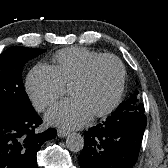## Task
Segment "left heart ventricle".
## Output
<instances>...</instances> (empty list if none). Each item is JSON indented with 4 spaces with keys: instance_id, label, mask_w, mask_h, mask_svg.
<instances>
[{
    "instance_id": "1",
    "label": "left heart ventricle",
    "mask_w": 168,
    "mask_h": 168,
    "mask_svg": "<svg viewBox=\"0 0 168 168\" xmlns=\"http://www.w3.org/2000/svg\"><path fill=\"white\" fill-rule=\"evenodd\" d=\"M119 81V69L112 60L100 62L89 79L82 84L70 86L72 96L82 98L92 113L105 108L113 99Z\"/></svg>"
}]
</instances>
